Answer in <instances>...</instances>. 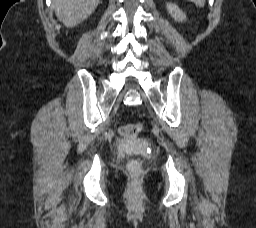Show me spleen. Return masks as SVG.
<instances>
[{
	"label": "spleen",
	"mask_w": 256,
	"mask_h": 228,
	"mask_svg": "<svg viewBox=\"0 0 256 228\" xmlns=\"http://www.w3.org/2000/svg\"><path fill=\"white\" fill-rule=\"evenodd\" d=\"M188 1L194 2L199 7H203L205 5V0H188Z\"/></svg>",
	"instance_id": "3e777b00"
}]
</instances>
